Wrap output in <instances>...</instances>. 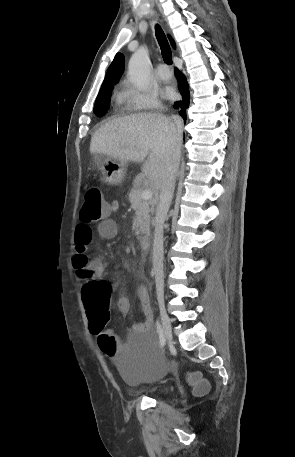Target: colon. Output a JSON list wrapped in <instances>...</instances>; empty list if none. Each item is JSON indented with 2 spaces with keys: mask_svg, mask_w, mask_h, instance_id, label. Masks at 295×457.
<instances>
[{
  "mask_svg": "<svg viewBox=\"0 0 295 457\" xmlns=\"http://www.w3.org/2000/svg\"><path fill=\"white\" fill-rule=\"evenodd\" d=\"M109 215L108 204L103 198L98 186H90L85 194L84 203L79 212L81 225L90 227L100 223ZM89 259L84 251H77L73 257V267L79 276L86 281L82 289L84 304L90 330L98 339V345L103 359L123 361L127 359V346L120 341L119 333H111L107 324L109 321V303L111 297L110 285L101 280H94L89 270ZM188 380L192 390L197 393L207 390V381H198L197 374H190Z\"/></svg>",
  "mask_w": 295,
  "mask_h": 457,
  "instance_id": "5ec220e1",
  "label": "colon"
}]
</instances>
